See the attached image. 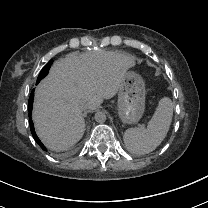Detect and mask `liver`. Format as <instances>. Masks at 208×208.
Masks as SVG:
<instances>
[{
  "mask_svg": "<svg viewBox=\"0 0 208 208\" xmlns=\"http://www.w3.org/2000/svg\"><path fill=\"white\" fill-rule=\"evenodd\" d=\"M134 61L129 54L106 51L58 60L36 91L34 121L44 143L54 150L77 143L85 130L82 107L94 110L113 98Z\"/></svg>",
  "mask_w": 208,
  "mask_h": 208,
  "instance_id": "liver-1",
  "label": "liver"
}]
</instances>
